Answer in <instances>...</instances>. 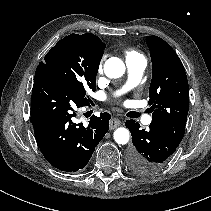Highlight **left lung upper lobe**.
<instances>
[{
  "label": "left lung upper lobe",
  "instance_id": "5c2ea615",
  "mask_svg": "<svg viewBox=\"0 0 211 211\" xmlns=\"http://www.w3.org/2000/svg\"><path fill=\"white\" fill-rule=\"evenodd\" d=\"M146 40L152 60L150 125L180 144L189 111L187 76L181 60L168 43L157 36H146Z\"/></svg>",
  "mask_w": 211,
  "mask_h": 211
}]
</instances>
